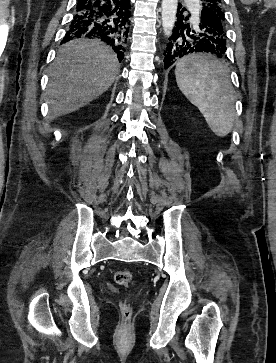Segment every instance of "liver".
Returning <instances> with one entry per match:
<instances>
[{
    "label": "liver",
    "mask_w": 276,
    "mask_h": 363,
    "mask_svg": "<svg viewBox=\"0 0 276 363\" xmlns=\"http://www.w3.org/2000/svg\"><path fill=\"white\" fill-rule=\"evenodd\" d=\"M119 71L116 55L95 40L75 39L59 49L46 94L50 117L66 115L103 94Z\"/></svg>",
    "instance_id": "liver-1"
}]
</instances>
